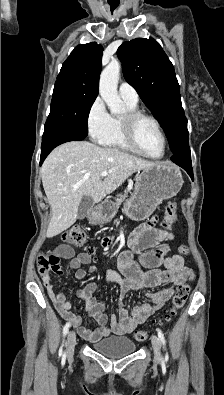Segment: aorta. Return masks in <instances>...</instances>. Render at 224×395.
Segmentation results:
<instances>
[{
    "label": "aorta",
    "mask_w": 224,
    "mask_h": 395,
    "mask_svg": "<svg viewBox=\"0 0 224 395\" xmlns=\"http://www.w3.org/2000/svg\"><path fill=\"white\" fill-rule=\"evenodd\" d=\"M120 68V63L112 60L100 75L99 93L112 115H118L124 111L123 101L117 91Z\"/></svg>",
    "instance_id": "762f6f07"
}]
</instances>
